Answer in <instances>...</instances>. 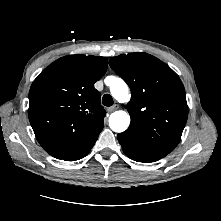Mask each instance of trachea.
Wrapping results in <instances>:
<instances>
[{"label": "trachea", "mask_w": 221, "mask_h": 221, "mask_svg": "<svg viewBox=\"0 0 221 221\" xmlns=\"http://www.w3.org/2000/svg\"><path fill=\"white\" fill-rule=\"evenodd\" d=\"M102 104L104 106H112L113 105V98L110 94H105L103 97H102Z\"/></svg>", "instance_id": "obj_1"}]
</instances>
